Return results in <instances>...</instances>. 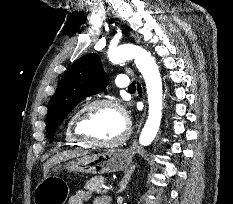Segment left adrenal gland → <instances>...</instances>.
Returning <instances> with one entry per match:
<instances>
[{
    "instance_id": "a2214340",
    "label": "left adrenal gland",
    "mask_w": 233,
    "mask_h": 204,
    "mask_svg": "<svg viewBox=\"0 0 233 204\" xmlns=\"http://www.w3.org/2000/svg\"><path fill=\"white\" fill-rule=\"evenodd\" d=\"M136 166L133 165L130 167V169H127L124 173V176H123V179L122 181L120 182V188L118 190V193H121L123 192L126 187H127V184L129 183L130 179H131V176L135 170Z\"/></svg>"
}]
</instances>
